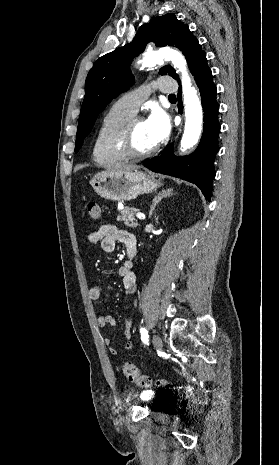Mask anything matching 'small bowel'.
Masks as SVG:
<instances>
[{
    "instance_id": "obj_1",
    "label": "small bowel",
    "mask_w": 279,
    "mask_h": 465,
    "mask_svg": "<svg viewBox=\"0 0 279 465\" xmlns=\"http://www.w3.org/2000/svg\"><path fill=\"white\" fill-rule=\"evenodd\" d=\"M91 243H99L103 251L111 253L115 250L117 243H122L128 255V259L123 262L118 270L119 276L122 278L124 287L128 292H133L136 289L137 275L134 271V265L137 258V245L136 238L129 232L122 230L114 225H103L98 230L89 234L88 237ZM132 253V255H130ZM103 287L101 285H95L89 289V297L93 301H98L102 297ZM98 325L102 328L107 326H114L116 320L112 315H100L97 318ZM123 335L125 337L124 347L126 350L133 348L131 341L132 337V322L126 317ZM104 343L109 346L111 339L109 337L104 338ZM112 355H117L118 351L115 348H110Z\"/></svg>"
}]
</instances>
